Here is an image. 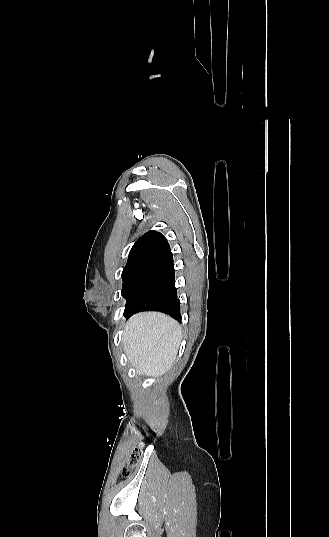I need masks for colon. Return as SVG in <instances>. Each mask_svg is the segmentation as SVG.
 <instances>
[{
  "instance_id": "5ec220e1",
  "label": "colon",
  "mask_w": 329,
  "mask_h": 537,
  "mask_svg": "<svg viewBox=\"0 0 329 537\" xmlns=\"http://www.w3.org/2000/svg\"><path fill=\"white\" fill-rule=\"evenodd\" d=\"M142 456V446H135L129 454L128 460L125 466L122 468L121 475L123 477H129L132 469L137 465Z\"/></svg>"
}]
</instances>
